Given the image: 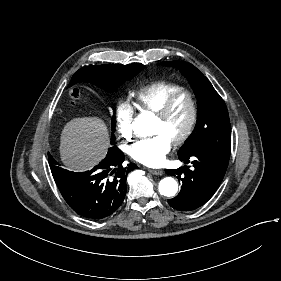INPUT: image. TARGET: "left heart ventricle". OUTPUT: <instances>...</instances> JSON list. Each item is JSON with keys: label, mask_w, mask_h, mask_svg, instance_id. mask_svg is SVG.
I'll list each match as a JSON object with an SVG mask.
<instances>
[{"label": "left heart ventricle", "mask_w": 281, "mask_h": 281, "mask_svg": "<svg viewBox=\"0 0 281 281\" xmlns=\"http://www.w3.org/2000/svg\"><path fill=\"white\" fill-rule=\"evenodd\" d=\"M189 116L190 108L187 99H179L163 120L151 116V136L162 133L171 140L184 131Z\"/></svg>", "instance_id": "1"}]
</instances>
